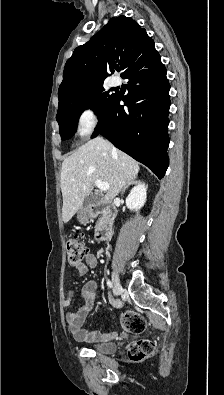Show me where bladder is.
Wrapping results in <instances>:
<instances>
[{
  "label": "bladder",
  "mask_w": 224,
  "mask_h": 395,
  "mask_svg": "<svg viewBox=\"0 0 224 395\" xmlns=\"http://www.w3.org/2000/svg\"><path fill=\"white\" fill-rule=\"evenodd\" d=\"M89 348L97 353L111 354L116 351L117 346L114 343L99 342L91 344Z\"/></svg>",
  "instance_id": "1"
}]
</instances>
